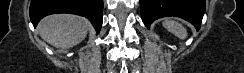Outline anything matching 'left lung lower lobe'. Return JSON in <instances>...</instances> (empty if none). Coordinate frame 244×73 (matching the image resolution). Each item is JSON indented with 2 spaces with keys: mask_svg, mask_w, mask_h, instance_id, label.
Segmentation results:
<instances>
[{
  "mask_svg": "<svg viewBox=\"0 0 244 73\" xmlns=\"http://www.w3.org/2000/svg\"><path fill=\"white\" fill-rule=\"evenodd\" d=\"M143 23L147 28L161 17L176 16L200 29L205 13V0H140Z\"/></svg>",
  "mask_w": 244,
  "mask_h": 73,
  "instance_id": "left-lung-lower-lobe-1",
  "label": "left lung lower lobe"
}]
</instances>
